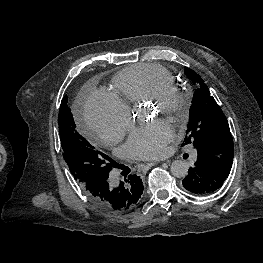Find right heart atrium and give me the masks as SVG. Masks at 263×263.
I'll return each instance as SVG.
<instances>
[{"label": "right heart atrium", "mask_w": 263, "mask_h": 263, "mask_svg": "<svg viewBox=\"0 0 263 263\" xmlns=\"http://www.w3.org/2000/svg\"><path fill=\"white\" fill-rule=\"evenodd\" d=\"M84 115L89 130L103 145L119 140L132 125L130 110L105 92L88 97Z\"/></svg>", "instance_id": "obj_1"}]
</instances>
